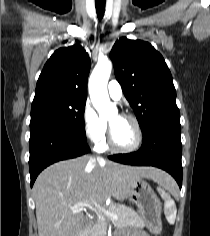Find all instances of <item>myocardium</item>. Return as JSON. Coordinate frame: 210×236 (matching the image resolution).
Returning a JSON list of instances; mask_svg holds the SVG:
<instances>
[{
  "mask_svg": "<svg viewBox=\"0 0 210 236\" xmlns=\"http://www.w3.org/2000/svg\"><path fill=\"white\" fill-rule=\"evenodd\" d=\"M121 117L126 118L128 120H130L134 126H135V130H136V139L135 142L133 143V145L129 146V147H120L118 145H116L114 143L113 137H112V129L111 126L109 128V132H108V138H107V143L108 146L111 150L118 152V153H131L134 152L136 150H138L140 148V146L142 145L143 142V130L141 127V124L139 122V120L137 119V117L131 113H123L121 115Z\"/></svg>",
  "mask_w": 210,
  "mask_h": 236,
  "instance_id": "myocardium-1",
  "label": "myocardium"
}]
</instances>
